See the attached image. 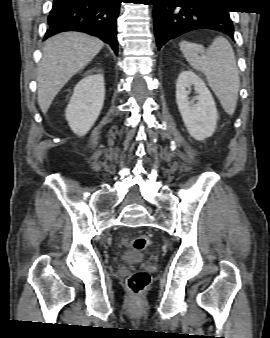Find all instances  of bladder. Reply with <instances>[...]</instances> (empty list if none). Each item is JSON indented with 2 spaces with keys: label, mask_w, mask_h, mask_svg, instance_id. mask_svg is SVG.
<instances>
[{
  "label": "bladder",
  "mask_w": 270,
  "mask_h": 338,
  "mask_svg": "<svg viewBox=\"0 0 270 338\" xmlns=\"http://www.w3.org/2000/svg\"><path fill=\"white\" fill-rule=\"evenodd\" d=\"M145 259V256L141 253V251L134 250L132 252H127L123 258L122 261L124 263H130V262H140Z\"/></svg>",
  "instance_id": "bladder-1"
}]
</instances>
